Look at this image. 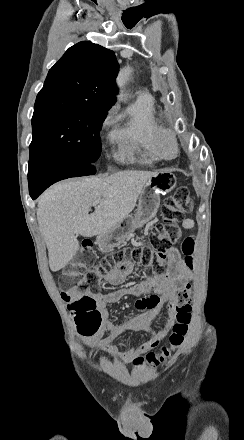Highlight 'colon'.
<instances>
[{
	"mask_svg": "<svg viewBox=\"0 0 244 440\" xmlns=\"http://www.w3.org/2000/svg\"><path fill=\"white\" fill-rule=\"evenodd\" d=\"M191 209L192 197L189 191L180 189L174 198L167 199L162 205L161 221L150 233L149 245L116 249L100 261L97 259L95 248L89 241H86L85 244L87 245L83 246L82 262H65V271H69V273L59 275L58 278L59 284H63V290L69 291L71 294L77 292L84 294L79 298H73L72 304L68 305L71 319L101 318V311L95 310L97 301L89 293H98L101 287L100 272L123 263L127 258H130L136 264L152 267L162 272L165 269L167 251L179 240L180 223L184 220L185 215L191 212ZM181 252L187 263L192 266L195 252L193 237L184 239ZM84 271H86V274L83 277L82 273ZM61 298L63 301L69 302V296L64 292ZM191 298L192 289L190 287H185L177 293L176 300L170 306L175 316V322L169 341L159 351H150L137 357L133 362L134 365L156 368L183 345L192 320Z\"/></svg>",
	"mask_w": 244,
	"mask_h": 440,
	"instance_id": "colon-1",
	"label": "colon"
}]
</instances>
